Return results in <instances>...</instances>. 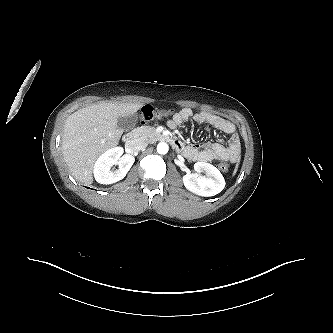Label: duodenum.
<instances>
[{
    "label": "duodenum",
    "mask_w": 333,
    "mask_h": 333,
    "mask_svg": "<svg viewBox=\"0 0 333 333\" xmlns=\"http://www.w3.org/2000/svg\"><path fill=\"white\" fill-rule=\"evenodd\" d=\"M166 139L168 142L177 149H181L183 144L180 140L173 136H167ZM124 141L126 148L129 150H133L137 143V132L131 131L125 134Z\"/></svg>",
    "instance_id": "obj_1"
}]
</instances>
